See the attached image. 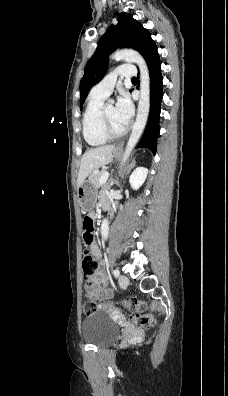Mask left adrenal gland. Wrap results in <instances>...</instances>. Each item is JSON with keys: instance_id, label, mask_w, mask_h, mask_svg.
I'll return each mask as SVG.
<instances>
[{"instance_id": "a2214340", "label": "left adrenal gland", "mask_w": 228, "mask_h": 396, "mask_svg": "<svg viewBox=\"0 0 228 396\" xmlns=\"http://www.w3.org/2000/svg\"><path fill=\"white\" fill-rule=\"evenodd\" d=\"M133 166H135V161H133V163L130 165V167L132 168ZM118 184V182H116Z\"/></svg>"}]
</instances>
